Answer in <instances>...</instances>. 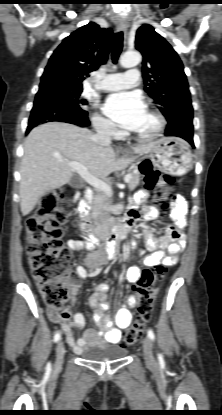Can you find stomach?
<instances>
[{"label":"stomach","instance_id":"1","mask_svg":"<svg viewBox=\"0 0 222 415\" xmlns=\"http://www.w3.org/2000/svg\"><path fill=\"white\" fill-rule=\"evenodd\" d=\"M189 145L176 137L162 138L152 143V148L145 153L152 164L175 176H182L192 168L193 159Z\"/></svg>","mask_w":222,"mask_h":415}]
</instances>
